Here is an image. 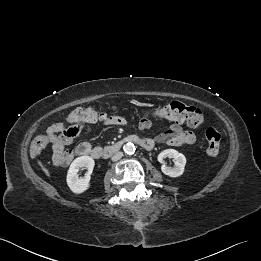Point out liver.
<instances>
[{
	"label": "liver",
	"instance_id": "6515ba94",
	"mask_svg": "<svg viewBox=\"0 0 261 261\" xmlns=\"http://www.w3.org/2000/svg\"><path fill=\"white\" fill-rule=\"evenodd\" d=\"M39 165L42 167V170L45 172L47 176H50V173L47 168L44 167L41 161H38Z\"/></svg>",
	"mask_w": 261,
	"mask_h": 261
}]
</instances>
